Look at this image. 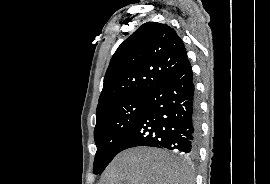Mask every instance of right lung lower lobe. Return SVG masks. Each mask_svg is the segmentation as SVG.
Instances as JSON below:
<instances>
[{
	"label": "right lung lower lobe",
	"instance_id": "1",
	"mask_svg": "<svg viewBox=\"0 0 270 184\" xmlns=\"http://www.w3.org/2000/svg\"><path fill=\"white\" fill-rule=\"evenodd\" d=\"M199 110L191 64L187 60L160 86L147 95L143 114L125 138L118 153L137 146L197 154Z\"/></svg>",
	"mask_w": 270,
	"mask_h": 184
}]
</instances>
